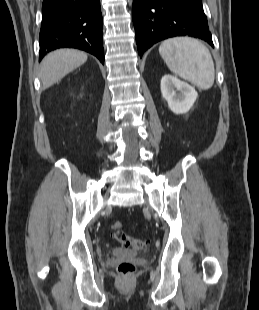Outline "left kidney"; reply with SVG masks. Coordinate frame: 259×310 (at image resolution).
Instances as JSON below:
<instances>
[{"instance_id":"obj_1","label":"left kidney","mask_w":259,"mask_h":310,"mask_svg":"<svg viewBox=\"0 0 259 310\" xmlns=\"http://www.w3.org/2000/svg\"><path fill=\"white\" fill-rule=\"evenodd\" d=\"M161 93L175 114L188 112L198 97L194 87L169 74L161 79Z\"/></svg>"}]
</instances>
